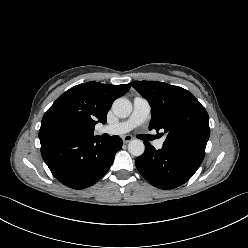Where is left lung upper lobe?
<instances>
[{"mask_svg":"<svg viewBox=\"0 0 248 248\" xmlns=\"http://www.w3.org/2000/svg\"><path fill=\"white\" fill-rule=\"evenodd\" d=\"M131 85L151 106L150 130L167 134L163 146L205 153L210 135L209 116L193 94L157 81H136Z\"/></svg>","mask_w":248,"mask_h":248,"instance_id":"obj_1","label":"left lung upper lobe"}]
</instances>
